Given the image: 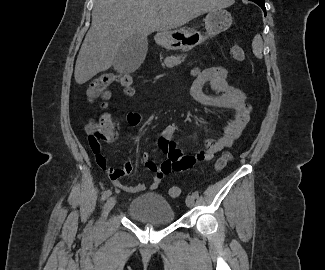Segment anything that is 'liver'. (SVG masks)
<instances>
[{
  "label": "liver",
  "instance_id": "1",
  "mask_svg": "<svg viewBox=\"0 0 325 270\" xmlns=\"http://www.w3.org/2000/svg\"><path fill=\"white\" fill-rule=\"evenodd\" d=\"M233 0H96L92 24L79 51L74 77L84 84L115 61L132 35L171 33L199 15L230 6ZM160 10V12H158Z\"/></svg>",
  "mask_w": 325,
  "mask_h": 270
}]
</instances>
